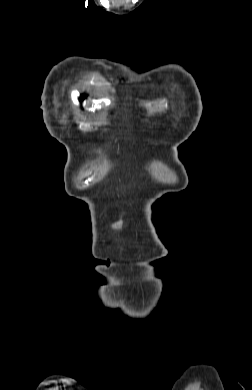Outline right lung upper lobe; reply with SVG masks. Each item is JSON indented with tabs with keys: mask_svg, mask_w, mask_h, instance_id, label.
<instances>
[{
	"mask_svg": "<svg viewBox=\"0 0 252 390\" xmlns=\"http://www.w3.org/2000/svg\"><path fill=\"white\" fill-rule=\"evenodd\" d=\"M84 97H83V95H81V98H80V100H82Z\"/></svg>",
	"mask_w": 252,
	"mask_h": 390,
	"instance_id": "1",
	"label": "right lung upper lobe"
}]
</instances>
